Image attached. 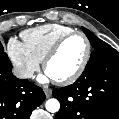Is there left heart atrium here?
<instances>
[{"mask_svg":"<svg viewBox=\"0 0 119 119\" xmlns=\"http://www.w3.org/2000/svg\"><path fill=\"white\" fill-rule=\"evenodd\" d=\"M53 79L47 72L44 75L39 77V80L42 82H48L49 80Z\"/></svg>","mask_w":119,"mask_h":119,"instance_id":"obj_1","label":"left heart atrium"}]
</instances>
